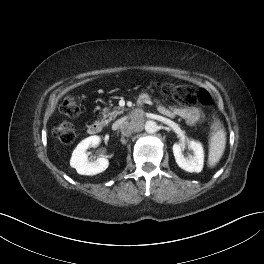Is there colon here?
Returning <instances> with one entry per match:
<instances>
[{
    "mask_svg": "<svg viewBox=\"0 0 264 264\" xmlns=\"http://www.w3.org/2000/svg\"><path fill=\"white\" fill-rule=\"evenodd\" d=\"M164 94L171 96L182 105H191L199 103L205 108L212 109V99L210 94L205 90H196L190 84L175 83H157L156 85ZM61 112L69 117L77 116L79 106L74 97H65L60 106ZM213 126L218 125V120L214 114L211 115ZM53 133L55 137L62 143L69 144L75 140L76 134L74 127L69 122L58 125Z\"/></svg>",
    "mask_w": 264,
    "mask_h": 264,
    "instance_id": "5ec220e1",
    "label": "colon"
}]
</instances>
